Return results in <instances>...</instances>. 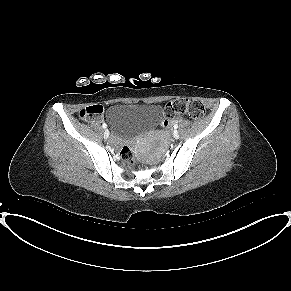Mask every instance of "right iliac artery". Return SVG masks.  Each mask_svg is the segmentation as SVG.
Wrapping results in <instances>:
<instances>
[{
	"instance_id": "1",
	"label": "right iliac artery",
	"mask_w": 291,
	"mask_h": 291,
	"mask_svg": "<svg viewBox=\"0 0 291 291\" xmlns=\"http://www.w3.org/2000/svg\"><path fill=\"white\" fill-rule=\"evenodd\" d=\"M102 127H103V128H106V127H107V125H106L105 123H103V124H102Z\"/></svg>"
}]
</instances>
